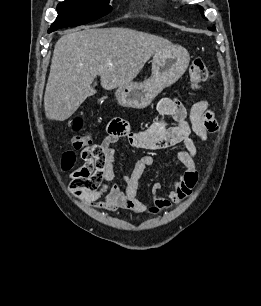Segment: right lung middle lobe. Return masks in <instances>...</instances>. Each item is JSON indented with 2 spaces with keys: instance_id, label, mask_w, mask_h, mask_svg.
I'll use <instances>...</instances> for the list:
<instances>
[{
  "instance_id": "dd1d6c3e",
  "label": "right lung middle lobe",
  "mask_w": 261,
  "mask_h": 306,
  "mask_svg": "<svg viewBox=\"0 0 261 306\" xmlns=\"http://www.w3.org/2000/svg\"><path fill=\"white\" fill-rule=\"evenodd\" d=\"M110 0H65L58 4V16L51 28L78 26L108 14Z\"/></svg>"
}]
</instances>
